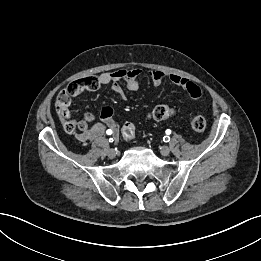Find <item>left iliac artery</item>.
Here are the masks:
<instances>
[{
  "instance_id": "obj_1",
  "label": "left iliac artery",
  "mask_w": 261,
  "mask_h": 261,
  "mask_svg": "<svg viewBox=\"0 0 261 261\" xmlns=\"http://www.w3.org/2000/svg\"><path fill=\"white\" fill-rule=\"evenodd\" d=\"M171 133L170 129L166 130V134L169 135ZM164 142H169L170 141V137L169 136H164L163 138Z\"/></svg>"
}]
</instances>
